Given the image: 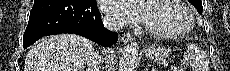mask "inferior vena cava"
I'll return each instance as SVG.
<instances>
[{"label":"inferior vena cava","instance_id":"inferior-vena-cava-1","mask_svg":"<svg viewBox=\"0 0 230 71\" xmlns=\"http://www.w3.org/2000/svg\"><path fill=\"white\" fill-rule=\"evenodd\" d=\"M103 22L106 28L112 30V31H118L120 30L123 25L120 22H117L111 18H103ZM102 62V57L99 55L98 52H94L91 54V56L87 60V71H100V65Z\"/></svg>","mask_w":230,"mask_h":71}]
</instances>
